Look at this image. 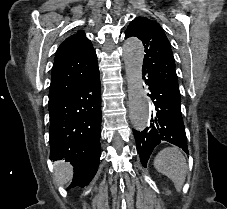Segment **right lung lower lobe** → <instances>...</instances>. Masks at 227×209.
I'll list each match as a JSON object with an SVG mask.
<instances>
[{
  "instance_id": "98d812e1",
  "label": "right lung lower lobe",
  "mask_w": 227,
  "mask_h": 209,
  "mask_svg": "<svg viewBox=\"0 0 227 209\" xmlns=\"http://www.w3.org/2000/svg\"><path fill=\"white\" fill-rule=\"evenodd\" d=\"M88 72L84 81L59 99L49 102L50 159L65 160L74 167L69 188L88 184L95 176L101 155V84L98 65L72 68Z\"/></svg>"
}]
</instances>
